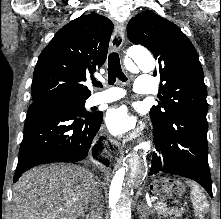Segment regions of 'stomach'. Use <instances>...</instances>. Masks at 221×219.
I'll return each instance as SVG.
<instances>
[{
  "instance_id": "0dacf381",
  "label": "stomach",
  "mask_w": 221,
  "mask_h": 219,
  "mask_svg": "<svg viewBox=\"0 0 221 219\" xmlns=\"http://www.w3.org/2000/svg\"><path fill=\"white\" fill-rule=\"evenodd\" d=\"M174 181V178H159L154 180L151 184L154 199H171L172 195H180L184 191V188L181 186L178 190H171L173 186L171 183H174Z\"/></svg>"
}]
</instances>
